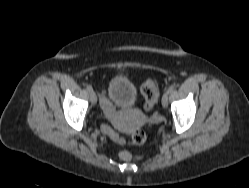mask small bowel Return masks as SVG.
Masks as SVG:
<instances>
[{
    "label": "small bowel",
    "instance_id": "small-bowel-1",
    "mask_svg": "<svg viewBox=\"0 0 249 188\" xmlns=\"http://www.w3.org/2000/svg\"><path fill=\"white\" fill-rule=\"evenodd\" d=\"M101 107L106 117L112 118L114 115V107L112 103L105 97V91L103 90L101 93Z\"/></svg>",
    "mask_w": 249,
    "mask_h": 188
}]
</instances>
